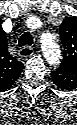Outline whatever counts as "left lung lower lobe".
<instances>
[{"label":"left lung lower lobe","instance_id":"obj_1","mask_svg":"<svg viewBox=\"0 0 77 125\" xmlns=\"http://www.w3.org/2000/svg\"><path fill=\"white\" fill-rule=\"evenodd\" d=\"M65 69H66V70H67V69H70V70H67V71L71 72L72 67H63V66L60 65V67H59L58 69H56L54 72L51 73V76H52V75H56V74L59 73V72L66 71Z\"/></svg>","mask_w":77,"mask_h":125}]
</instances>
